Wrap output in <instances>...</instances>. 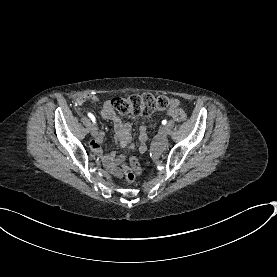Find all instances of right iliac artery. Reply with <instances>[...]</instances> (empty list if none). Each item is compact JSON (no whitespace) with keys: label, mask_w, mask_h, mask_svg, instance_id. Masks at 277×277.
Instances as JSON below:
<instances>
[{"label":"right iliac artery","mask_w":277,"mask_h":277,"mask_svg":"<svg viewBox=\"0 0 277 277\" xmlns=\"http://www.w3.org/2000/svg\"><path fill=\"white\" fill-rule=\"evenodd\" d=\"M88 117L95 123V117L91 113H88Z\"/></svg>","instance_id":"right-iliac-artery-1"}]
</instances>
